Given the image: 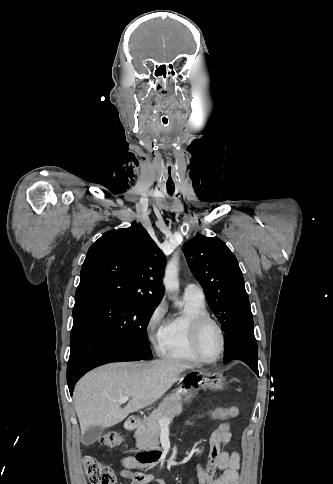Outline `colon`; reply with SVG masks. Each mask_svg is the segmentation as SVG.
<instances>
[{"label": "colon", "mask_w": 333, "mask_h": 484, "mask_svg": "<svg viewBox=\"0 0 333 484\" xmlns=\"http://www.w3.org/2000/svg\"><path fill=\"white\" fill-rule=\"evenodd\" d=\"M228 416V407H216L208 409L192 418L184 421L179 428L188 429L206 420H225ZM99 442L105 447H116L122 443V436L114 431L103 434ZM83 463L87 478L91 484H114L115 474L113 470L91 456H85Z\"/></svg>", "instance_id": "5ec220e1"}]
</instances>
